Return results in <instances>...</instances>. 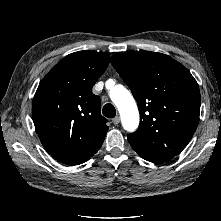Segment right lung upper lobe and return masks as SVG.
<instances>
[{"label":"right lung upper lobe","mask_w":221,"mask_h":221,"mask_svg":"<svg viewBox=\"0 0 221 221\" xmlns=\"http://www.w3.org/2000/svg\"><path fill=\"white\" fill-rule=\"evenodd\" d=\"M109 54L91 50L64 57L42 79L32 116L42 145L56 160L78 165L101 147L108 131L92 87L109 64Z\"/></svg>","instance_id":"cb5924a9"}]
</instances>
